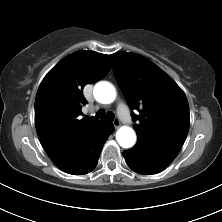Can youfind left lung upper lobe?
<instances>
[{
  "instance_id": "5c2ea615",
  "label": "left lung upper lobe",
  "mask_w": 222,
  "mask_h": 222,
  "mask_svg": "<svg viewBox=\"0 0 222 222\" xmlns=\"http://www.w3.org/2000/svg\"><path fill=\"white\" fill-rule=\"evenodd\" d=\"M111 56L114 74L137 124L138 141L131 149L168 166L187 137V98L178 85L147 58L119 52Z\"/></svg>"
}]
</instances>
